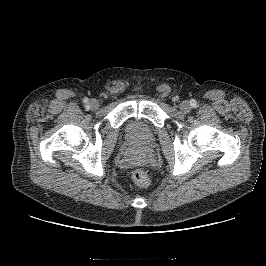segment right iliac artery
Returning <instances> with one entry per match:
<instances>
[{
  "mask_svg": "<svg viewBox=\"0 0 266 266\" xmlns=\"http://www.w3.org/2000/svg\"><path fill=\"white\" fill-rule=\"evenodd\" d=\"M84 102H85V103L88 102V99H84Z\"/></svg>",
  "mask_w": 266,
  "mask_h": 266,
  "instance_id": "82829eb1",
  "label": "right iliac artery"
}]
</instances>
